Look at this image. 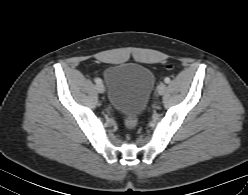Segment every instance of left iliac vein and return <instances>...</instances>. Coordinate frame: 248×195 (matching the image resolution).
I'll use <instances>...</instances> for the list:
<instances>
[{"label": "left iliac vein", "instance_id": "4c4485c4", "mask_svg": "<svg viewBox=\"0 0 248 195\" xmlns=\"http://www.w3.org/2000/svg\"><path fill=\"white\" fill-rule=\"evenodd\" d=\"M157 91L160 95H163L166 91V85L164 83H161L157 87Z\"/></svg>", "mask_w": 248, "mask_h": 195}]
</instances>
